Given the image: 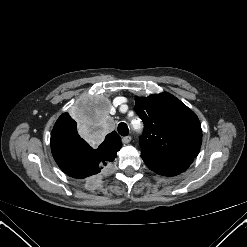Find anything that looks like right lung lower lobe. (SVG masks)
I'll return each instance as SVG.
<instances>
[{"mask_svg":"<svg viewBox=\"0 0 247 247\" xmlns=\"http://www.w3.org/2000/svg\"><path fill=\"white\" fill-rule=\"evenodd\" d=\"M51 150L61 170L78 179L99 173L117 153L107 146L93 149L78 133L59 129L52 130Z\"/></svg>","mask_w":247,"mask_h":247,"instance_id":"right-lung-lower-lobe-1","label":"right lung lower lobe"}]
</instances>
